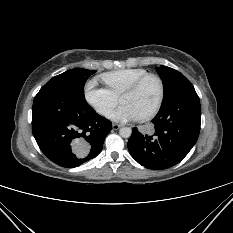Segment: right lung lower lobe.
I'll return each mask as SVG.
<instances>
[{
    "label": "right lung lower lobe",
    "mask_w": 233,
    "mask_h": 233,
    "mask_svg": "<svg viewBox=\"0 0 233 233\" xmlns=\"http://www.w3.org/2000/svg\"><path fill=\"white\" fill-rule=\"evenodd\" d=\"M112 123L80 95L44 85L34 98L32 130L41 151L62 167H77L96 157Z\"/></svg>",
    "instance_id": "98d812e1"
}]
</instances>
